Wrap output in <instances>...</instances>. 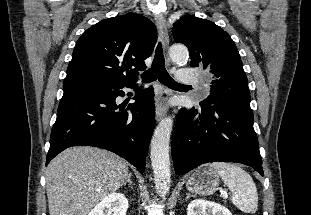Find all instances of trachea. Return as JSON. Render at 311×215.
I'll list each match as a JSON object with an SVG mask.
<instances>
[{
    "label": "trachea",
    "mask_w": 311,
    "mask_h": 215,
    "mask_svg": "<svg viewBox=\"0 0 311 215\" xmlns=\"http://www.w3.org/2000/svg\"><path fill=\"white\" fill-rule=\"evenodd\" d=\"M157 79L170 88L188 87V85L177 83L167 72L161 43L156 47L151 68L142 74L143 83H150Z\"/></svg>",
    "instance_id": "obj_1"
}]
</instances>
